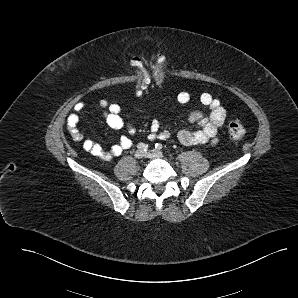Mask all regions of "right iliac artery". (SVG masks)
<instances>
[{
    "instance_id": "obj_1",
    "label": "right iliac artery",
    "mask_w": 298,
    "mask_h": 298,
    "mask_svg": "<svg viewBox=\"0 0 298 298\" xmlns=\"http://www.w3.org/2000/svg\"><path fill=\"white\" fill-rule=\"evenodd\" d=\"M137 148L138 149H141V150H143V151H147L148 150V145L147 144H145V143H139L138 145H137Z\"/></svg>"
}]
</instances>
